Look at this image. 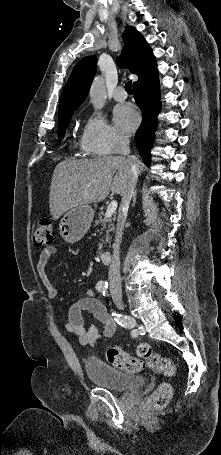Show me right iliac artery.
<instances>
[{
	"instance_id": "right-iliac-artery-1",
	"label": "right iliac artery",
	"mask_w": 221,
	"mask_h": 455,
	"mask_svg": "<svg viewBox=\"0 0 221 455\" xmlns=\"http://www.w3.org/2000/svg\"><path fill=\"white\" fill-rule=\"evenodd\" d=\"M96 289L101 292L104 296L108 294V284L104 282H98L96 284ZM114 320L121 326H124L125 329L129 330L131 337H139V331L136 329L131 322L127 319V316H124L120 313L113 312Z\"/></svg>"
}]
</instances>
